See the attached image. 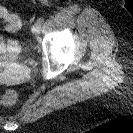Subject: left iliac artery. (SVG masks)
<instances>
[{
    "label": "left iliac artery",
    "instance_id": "obj_1",
    "mask_svg": "<svg viewBox=\"0 0 133 133\" xmlns=\"http://www.w3.org/2000/svg\"><path fill=\"white\" fill-rule=\"evenodd\" d=\"M38 23L42 24L44 22V18L43 17H40L38 20H37Z\"/></svg>",
    "mask_w": 133,
    "mask_h": 133
}]
</instances>
